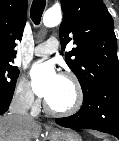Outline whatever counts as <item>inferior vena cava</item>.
I'll return each mask as SVG.
<instances>
[{"label": "inferior vena cava", "instance_id": "obj_1", "mask_svg": "<svg viewBox=\"0 0 119 141\" xmlns=\"http://www.w3.org/2000/svg\"><path fill=\"white\" fill-rule=\"evenodd\" d=\"M32 101L33 96L29 92L15 96L9 107L10 115L19 116L26 121L33 122V118L28 113Z\"/></svg>", "mask_w": 119, "mask_h": 141}]
</instances>
